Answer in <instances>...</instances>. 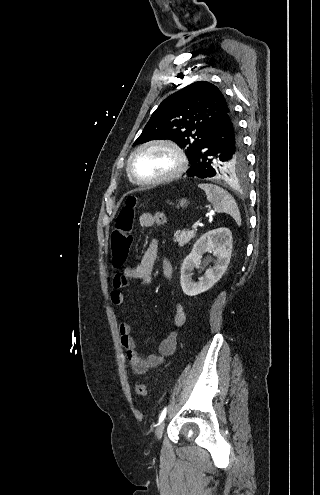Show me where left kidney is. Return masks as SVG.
<instances>
[{"label": "left kidney", "instance_id": "1", "mask_svg": "<svg viewBox=\"0 0 320 495\" xmlns=\"http://www.w3.org/2000/svg\"><path fill=\"white\" fill-rule=\"evenodd\" d=\"M206 252L213 253L216 258L215 265L208 268L204 277L195 282L192 279V271L200 265L202 256ZM231 253L232 235L229 229L219 228L202 235L182 264L180 283L183 292L188 296H196L209 290L225 273Z\"/></svg>", "mask_w": 320, "mask_h": 495}]
</instances>
